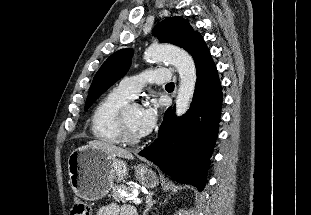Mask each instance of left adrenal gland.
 <instances>
[{
	"label": "left adrenal gland",
	"instance_id": "left-adrenal-gland-1",
	"mask_svg": "<svg viewBox=\"0 0 311 215\" xmlns=\"http://www.w3.org/2000/svg\"><path fill=\"white\" fill-rule=\"evenodd\" d=\"M153 193L149 194L146 197V209L143 212V215H146L147 212L152 208V206L156 203V201L152 200Z\"/></svg>",
	"mask_w": 311,
	"mask_h": 215
}]
</instances>
